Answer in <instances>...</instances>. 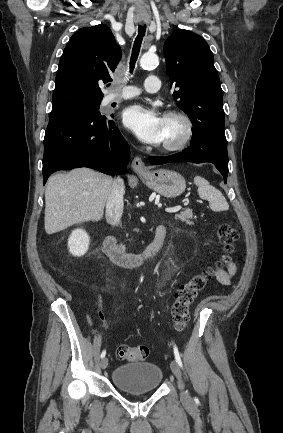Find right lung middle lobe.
Instances as JSON below:
<instances>
[{
	"label": "right lung middle lobe",
	"mask_w": 283,
	"mask_h": 433,
	"mask_svg": "<svg viewBox=\"0 0 283 433\" xmlns=\"http://www.w3.org/2000/svg\"><path fill=\"white\" fill-rule=\"evenodd\" d=\"M100 103H101V101L85 104V105L73 108V109L65 111V112L50 114V117L64 116V115L74 114V113H78V112H86V111H91V110L98 111L100 108Z\"/></svg>",
	"instance_id": "dd1d6c3e"
}]
</instances>
